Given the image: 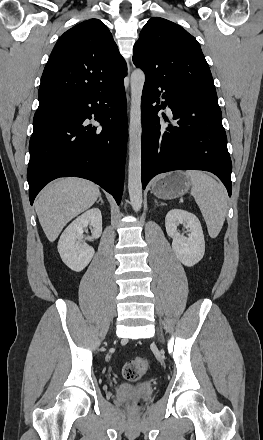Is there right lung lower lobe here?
Listing matches in <instances>:
<instances>
[{
	"instance_id": "1",
	"label": "right lung lower lobe",
	"mask_w": 263,
	"mask_h": 440,
	"mask_svg": "<svg viewBox=\"0 0 263 440\" xmlns=\"http://www.w3.org/2000/svg\"><path fill=\"white\" fill-rule=\"evenodd\" d=\"M124 82L71 97L58 112L34 126L27 171L31 205L40 190L58 177L95 182L120 204L127 142ZM95 116L102 127L86 126Z\"/></svg>"
}]
</instances>
